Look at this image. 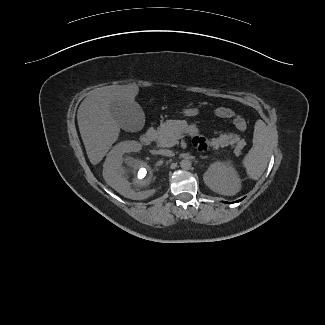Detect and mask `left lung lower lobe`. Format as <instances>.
Returning <instances> with one entry per match:
<instances>
[{
  "mask_svg": "<svg viewBox=\"0 0 325 325\" xmlns=\"http://www.w3.org/2000/svg\"><path fill=\"white\" fill-rule=\"evenodd\" d=\"M239 201H241V200H238V201H236V202H239ZM225 203H228V202H225Z\"/></svg>",
  "mask_w": 325,
  "mask_h": 325,
  "instance_id": "0a47b994",
  "label": "left lung lower lobe"
}]
</instances>
